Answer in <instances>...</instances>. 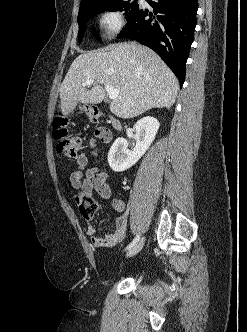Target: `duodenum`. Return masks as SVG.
<instances>
[{"mask_svg":"<svg viewBox=\"0 0 247 332\" xmlns=\"http://www.w3.org/2000/svg\"><path fill=\"white\" fill-rule=\"evenodd\" d=\"M112 126L115 130L119 131L121 130L122 126H121V123L118 119H112Z\"/></svg>","mask_w":247,"mask_h":332,"instance_id":"1","label":"duodenum"}]
</instances>
